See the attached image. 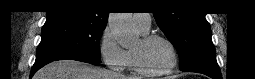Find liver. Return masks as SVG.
<instances>
[{"instance_id":"obj_1","label":"liver","mask_w":255,"mask_h":79,"mask_svg":"<svg viewBox=\"0 0 255 79\" xmlns=\"http://www.w3.org/2000/svg\"><path fill=\"white\" fill-rule=\"evenodd\" d=\"M34 79H135L76 60H59L41 68Z\"/></svg>"}]
</instances>
